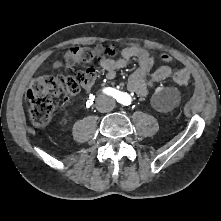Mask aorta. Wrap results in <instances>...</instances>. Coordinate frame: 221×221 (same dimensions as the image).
<instances>
[{
    "mask_svg": "<svg viewBox=\"0 0 221 221\" xmlns=\"http://www.w3.org/2000/svg\"><path fill=\"white\" fill-rule=\"evenodd\" d=\"M130 101H131L130 96L127 95V94H124L121 97V103L124 104V105H128L130 103Z\"/></svg>",
    "mask_w": 221,
    "mask_h": 221,
    "instance_id": "aorta-1",
    "label": "aorta"
}]
</instances>
